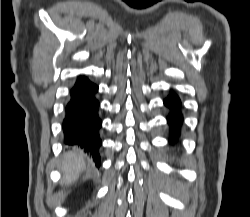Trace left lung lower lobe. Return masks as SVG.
Masks as SVG:
<instances>
[{
  "mask_svg": "<svg viewBox=\"0 0 250 217\" xmlns=\"http://www.w3.org/2000/svg\"><path fill=\"white\" fill-rule=\"evenodd\" d=\"M164 104L171 109L167 121L171 127L170 143H174L179 134V128L183 120L182 114L179 111L181 102L178 96L172 93L164 100Z\"/></svg>",
  "mask_w": 250,
  "mask_h": 217,
  "instance_id": "0a47b994",
  "label": "left lung lower lobe"
}]
</instances>
